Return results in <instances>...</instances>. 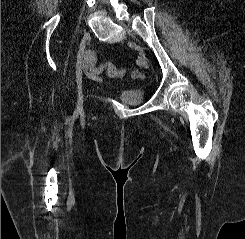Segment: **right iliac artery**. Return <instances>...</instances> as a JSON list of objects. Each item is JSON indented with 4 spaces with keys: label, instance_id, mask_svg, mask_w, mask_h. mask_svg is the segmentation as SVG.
Returning a JSON list of instances; mask_svg holds the SVG:
<instances>
[{
    "label": "right iliac artery",
    "instance_id": "1",
    "mask_svg": "<svg viewBox=\"0 0 245 239\" xmlns=\"http://www.w3.org/2000/svg\"><path fill=\"white\" fill-rule=\"evenodd\" d=\"M81 51H82V48H81V45H80L79 51H78V54H77L76 69H78V67L80 65V62H81ZM76 73H77V71H76Z\"/></svg>",
    "mask_w": 245,
    "mask_h": 239
}]
</instances>
